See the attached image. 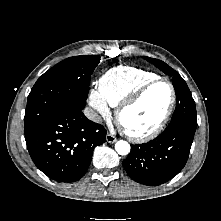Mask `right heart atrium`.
<instances>
[{
    "mask_svg": "<svg viewBox=\"0 0 221 221\" xmlns=\"http://www.w3.org/2000/svg\"><path fill=\"white\" fill-rule=\"evenodd\" d=\"M89 104L96 112V119L107 118L110 114L108 105L96 90H91L89 93Z\"/></svg>",
    "mask_w": 221,
    "mask_h": 221,
    "instance_id": "obj_1",
    "label": "right heart atrium"
}]
</instances>
